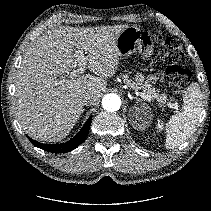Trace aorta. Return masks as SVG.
<instances>
[{
	"mask_svg": "<svg viewBox=\"0 0 211 211\" xmlns=\"http://www.w3.org/2000/svg\"><path fill=\"white\" fill-rule=\"evenodd\" d=\"M121 106V99L117 94L110 93L103 97L102 99V107L106 111H117L120 109Z\"/></svg>",
	"mask_w": 211,
	"mask_h": 211,
	"instance_id": "aorta-1",
	"label": "aorta"
}]
</instances>
